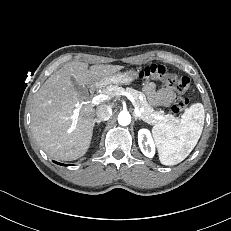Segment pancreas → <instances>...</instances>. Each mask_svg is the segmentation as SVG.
I'll list each match as a JSON object with an SVG mask.
<instances>
[{"label": "pancreas", "mask_w": 231, "mask_h": 231, "mask_svg": "<svg viewBox=\"0 0 231 231\" xmlns=\"http://www.w3.org/2000/svg\"><path fill=\"white\" fill-rule=\"evenodd\" d=\"M124 92L130 94L136 100V106L138 108H143L141 113V119L148 124L157 125V124H172L176 121V118L173 115H163L162 111H154L153 108L147 103L142 92L137 91L132 88H122L117 85H108L102 89V93L108 95L111 98L118 97ZM142 96V99L139 97Z\"/></svg>", "instance_id": "pancreas-1"}]
</instances>
